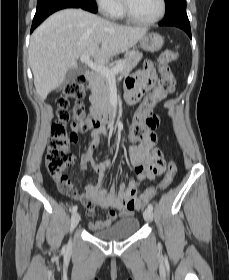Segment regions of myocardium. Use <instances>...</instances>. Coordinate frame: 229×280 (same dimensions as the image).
<instances>
[{"mask_svg":"<svg viewBox=\"0 0 229 280\" xmlns=\"http://www.w3.org/2000/svg\"><path fill=\"white\" fill-rule=\"evenodd\" d=\"M166 7H167L166 0H160L159 13L151 19L143 20V19H139V18L135 17L130 12L127 1L122 0V11H123L124 16L127 18V20L130 21L131 23H134L137 25H143V26H149V25H153V24L159 22L165 16Z\"/></svg>","mask_w":229,"mask_h":280,"instance_id":"myocardium-1","label":"myocardium"}]
</instances>
